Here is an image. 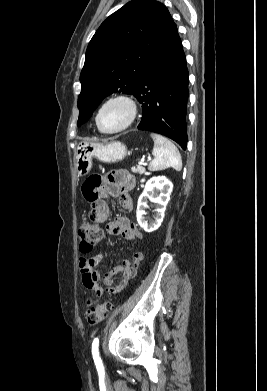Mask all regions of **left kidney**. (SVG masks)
Listing matches in <instances>:
<instances>
[{
    "instance_id": "left-kidney-1",
    "label": "left kidney",
    "mask_w": 267,
    "mask_h": 391,
    "mask_svg": "<svg viewBox=\"0 0 267 391\" xmlns=\"http://www.w3.org/2000/svg\"><path fill=\"white\" fill-rule=\"evenodd\" d=\"M173 184L164 176L152 177L145 184V188L138 199L136 217L138 224L146 231L157 230L165 216L166 206L170 200ZM147 199L156 204L154 220H146Z\"/></svg>"
}]
</instances>
